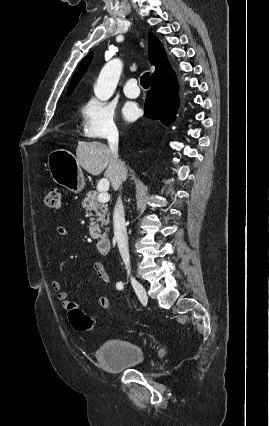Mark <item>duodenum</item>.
Listing matches in <instances>:
<instances>
[{
	"label": "duodenum",
	"instance_id": "1",
	"mask_svg": "<svg viewBox=\"0 0 269 426\" xmlns=\"http://www.w3.org/2000/svg\"><path fill=\"white\" fill-rule=\"evenodd\" d=\"M111 238L109 236H104L101 237L98 241H97V249L99 251L100 254L106 255L109 254L110 249H111Z\"/></svg>",
	"mask_w": 269,
	"mask_h": 426
}]
</instances>
